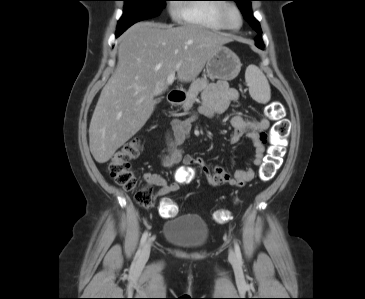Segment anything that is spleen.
I'll list each match as a JSON object with an SVG mask.
<instances>
[{"label": "spleen", "instance_id": "obj_1", "mask_svg": "<svg viewBox=\"0 0 365 299\" xmlns=\"http://www.w3.org/2000/svg\"><path fill=\"white\" fill-rule=\"evenodd\" d=\"M245 80L252 99L266 104L271 98V90L264 73L255 65H249L245 72Z\"/></svg>", "mask_w": 365, "mask_h": 299}]
</instances>
